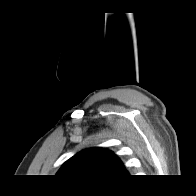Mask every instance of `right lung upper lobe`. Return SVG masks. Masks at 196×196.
<instances>
[{
  "label": "right lung upper lobe",
  "instance_id": "cb5924a9",
  "mask_svg": "<svg viewBox=\"0 0 196 196\" xmlns=\"http://www.w3.org/2000/svg\"><path fill=\"white\" fill-rule=\"evenodd\" d=\"M57 175L102 180L127 175L120 159L104 148L83 150L64 163Z\"/></svg>",
  "mask_w": 196,
  "mask_h": 196
}]
</instances>
